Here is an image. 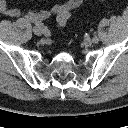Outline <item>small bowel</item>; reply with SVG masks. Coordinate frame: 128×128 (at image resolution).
<instances>
[{
	"instance_id": "small-bowel-1",
	"label": "small bowel",
	"mask_w": 128,
	"mask_h": 128,
	"mask_svg": "<svg viewBox=\"0 0 128 128\" xmlns=\"http://www.w3.org/2000/svg\"><path fill=\"white\" fill-rule=\"evenodd\" d=\"M82 0H66L63 3H58L50 9H43L39 11H29L25 18L34 23L41 24L42 21L48 19L52 15H56L62 10H73L80 6ZM0 14L10 18H16L21 15V11L15 7H9L7 0H0Z\"/></svg>"
}]
</instances>
